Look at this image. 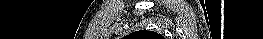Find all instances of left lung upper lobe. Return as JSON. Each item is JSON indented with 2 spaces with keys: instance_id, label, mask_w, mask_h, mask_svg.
Returning <instances> with one entry per match:
<instances>
[{
  "instance_id": "5c2ea615",
  "label": "left lung upper lobe",
  "mask_w": 263,
  "mask_h": 39,
  "mask_svg": "<svg viewBox=\"0 0 263 39\" xmlns=\"http://www.w3.org/2000/svg\"><path fill=\"white\" fill-rule=\"evenodd\" d=\"M125 39H164L162 35L153 31L140 30L133 32L125 37Z\"/></svg>"
}]
</instances>
